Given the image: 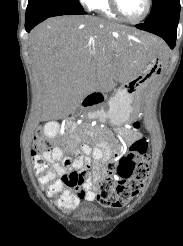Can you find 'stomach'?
<instances>
[{
    "mask_svg": "<svg viewBox=\"0 0 183 246\" xmlns=\"http://www.w3.org/2000/svg\"><path fill=\"white\" fill-rule=\"evenodd\" d=\"M136 50L147 57V63L142 72L134 79L126 82L108 101L106 111L99 112L101 121L108 120L114 126L128 123L140 111L141 94L158 72L160 61H157L156 51L150 42H129Z\"/></svg>",
    "mask_w": 183,
    "mask_h": 246,
    "instance_id": "stomach-1",
    "label": "stomach"
}]
</instances>
